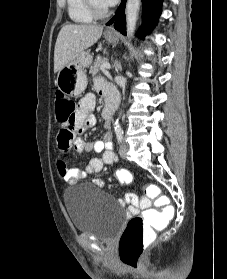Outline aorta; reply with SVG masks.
<instances>
[{
    "label": "aorta",
    "mask_w": 227,
    "mask_h": 279,
    "mask_svg": "<svg viewBox=\"0 0 227 279\" xmlns=\"http://www.w3.org/2000/svg\"><path fill=\"white\" fill-rule=\"evenodd\" d=\"M140 7V0H127L126 4V23H127V33L131 37L135 30L138 11ZM115 128L119 127L118 120L115 122Z\"/></svg>",
    "instance_id": "1"
}]
</instances>
